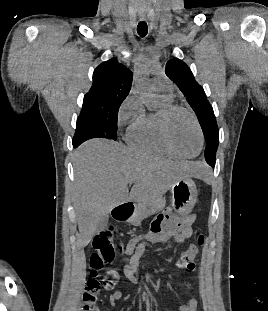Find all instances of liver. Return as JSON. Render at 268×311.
<instances>
[{
  "label": "liver",
  "instance_id": "1",
  "mask_svg": "<svg viewBox=\"0 0 268 311\" xmlns=\"http://www.w3.org/2000/svg\"><path fill=\"white\" fill-rule=\"evenodd\" d=\"M202 162H177L131 151L123 144L92 139L74 152V208L78 244L87 246L109 212L128 201L161 198L186 177H201ZM133 183L129 193L128 184Z\"/></svg>",
  "mask_w": 268,
  "mask_h": 311
}]
</instances>
